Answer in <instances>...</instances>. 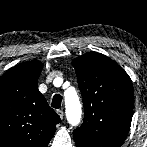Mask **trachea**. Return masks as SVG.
<instances>
[{"mask_svg": "<svg viewBox=\"0 0 147 147\" xmlns=\"http://www.w3.org/2000/svg\"><path fill=\"white\" fill-rule=\"evenodd\" d=\"M61 102H62V96L60 94H55L53 96V99H52V103H51V106L53 108H60L61 107Z\"/></svg>", "mask_w": 147, "mask_h": 147, "instance_id": "1", "label": "trachea"}]
</instances>
